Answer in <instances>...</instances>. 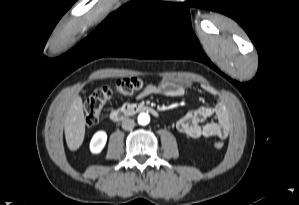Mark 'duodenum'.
<instances>
[{
	"mask_svg": "<svg viewBox=\"0 0 299 205\" xmlns=\"http://www.w3.org/2000/svg\"><path fill=\"white\" fill-rule=\"evenodd\" d=\"M137 113H149L157 115L158 112L151 106L145 104H126L110 112L113 121H121Z\"/></svg>",
	"mask_w": 299,
	"mask_h": 205,
	"instance_id": "410a0bca",
	"label": "duodenum"
}]
</instances>
